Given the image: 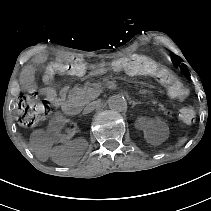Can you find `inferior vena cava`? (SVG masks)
Instances as JSON below:
<instances>
[{
	"label": "inferior vena cava",
	"mask_w": 211,
	"mask_h": 211,
	"mask_svg": "<svg viewBox=\"0 0 211 211\" xmlns=\"http://www.w3.org/2000/svg\"><path fill=\"white\" fill-rule=\"evenodd\" d=\"M96 107V103L95 102H91L89 103L85 108H84V113H90L91 111H93Z\"/></svg>",
	"instance_id": "obj_1"
}]
</instances>
